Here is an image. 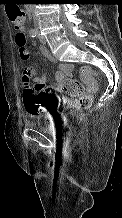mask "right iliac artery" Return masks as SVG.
I'll return each mask as SVG.
<instances>
[{
    "mask_svg": "<svg viewBox=\"0 0 122 218\" xmlns=\"http://www.w3.org/2000/svg\"><path fill=\"white\" fill-rule=\"evenodd\" d=\"M29 34L32 38H34V37H36L37 32L35 30H30Z\"/></svg>",
    "mask_w": 122,
    "mask_h": 218,
    "instance_id": "82829eb1",
    "label": "right iliac artery"
}]
</instances>
